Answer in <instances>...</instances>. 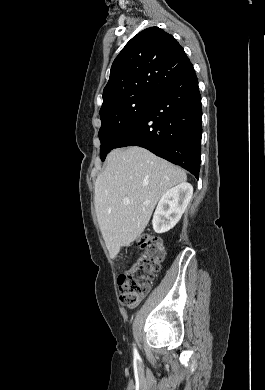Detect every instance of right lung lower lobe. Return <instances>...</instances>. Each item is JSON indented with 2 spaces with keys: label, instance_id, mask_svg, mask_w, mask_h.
Instances as JSON below:
<instances>
[{
  "label": "right lung lower lobe",
  "instance_id": "obj_1",
  "mask_svg": "<svg viewBox=\"0 0 265 390\" xmlns=\"http://www.w3.org/2000/svg\"><path fill=\"white\" fill-rule=\"evenodd\" d=\"M202 108L193 65L161 89L115 148L140 146L192 173L200 170Z\"/></svg>",
  "mask_w": 265,
  "mask_h": 390
}]
</instances>
